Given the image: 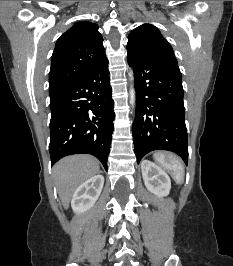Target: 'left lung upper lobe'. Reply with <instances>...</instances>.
<instances>
[{
  "instance_id": "1",
  "label": "left lung upper lobe",
  "mask_w": 233,
  "mask_h": 266,
  "mask_svg": "<svg viewBox=\"0 0 233 266\" xmlns=\"http://www.w3.org/2000/svg\"><path fill=\"white\" fill-rule=\"evenodd\" d=\"M127 49L175 58L171 45L160 34L158 28L150 24L141 25L131 31L128 36Z\"/></svg>"
}]
</instances>
